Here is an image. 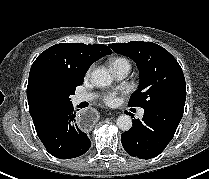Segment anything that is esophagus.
Returning <instances> with one entry per match:
<instances>
[{
  "instance_id": "esophagus-1",
  "label": "esophagus",
  "mask_w": 209,
  "mask_h": 179,
  "mask_svg": "<svg viewBox=\"0 0 209 179\" xmlns=\"http://www.w3.org/2000/svg\"><path fill=\"white\" fill-rule=\"evenodd\" d=\"M97 117V111L93 107H84L76 113L75 119L81 128L87 129L94 124Z\"/></svg>"
}]
</instances>
